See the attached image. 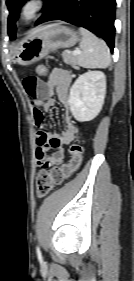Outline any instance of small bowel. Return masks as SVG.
Instances as JSON below:
<instances>
[{
  "instance_id": "c3829d8e",
  "label": "small bowel",
  "mask_w": 134,
  "mask_h": 281,
  "mask_svg": "<svg viewBox=\"0 0 134 281\" xmlns=\"http://www.w3.org/2000/svg\"><path fill=\"white\" fill-rule=\"evenodd\" d=\"M71 81V74L58 68L51 71L46 81L36 76H27L22 81L24 90L32 100L33 119L38 127L36 159L37 165L43 169L64 162L65 146L71 143L76 135L74 121L69 115L65 117L66 126L61 134L51 132L45 119V112L56 102L54 95L62 104H68ZM50 151L52 153H49Z\"/></svg>"
}]
</instances>
